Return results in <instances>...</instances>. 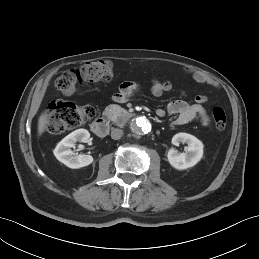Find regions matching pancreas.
<instances>
[{
	"label": "pancreas",
	"mask_w": 259,
	"mask_h": 259,
	"mask_svg": "<svg viewBox=\"0 0 259 259\" xmlns=\"http://www.w3.org/2000/svg\"><path fill=\"white\" fill-rule=\"evenodd\" d=\"M103 115L114 123L119 124L125 121V117H127L129 113L118 105H110L105 109Z\"/></svg>",
	"instance_id": "pancreas-1"
}]
</instances>
